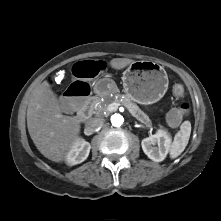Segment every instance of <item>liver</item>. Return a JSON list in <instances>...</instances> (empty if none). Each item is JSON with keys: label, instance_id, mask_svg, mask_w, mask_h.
Wrapping results in <instances>:
<instances>
[{"label": "liver", "instance_id": "liver-1", "mask_svg": "<svg viewBox=\"0 0 221 221\" xmlns=\"http://www.w3.org/2000/svg\"><path fill=\"white\" fill-rule=\"evenodd\" d=\"M128 58H114L110 66L120 70L133 63ZM80 119L65 116L56 94L47 81L32 92L27 108V127L31 139L44 157L63 162L80 133Z\"/></svg>", "mask_w": 221, "mask_h": 221}]
</instances>
